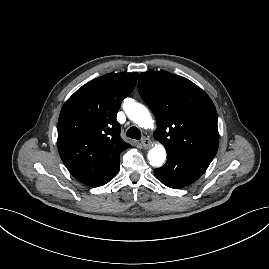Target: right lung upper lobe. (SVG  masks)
I'll return each instance as SVG.
<instances>
[{
  "instance_id": "cb5924a9",
  "label": "right lung upper lobe",
  "mask_w": 269,
  "mask_h": 269,
  "mask_svg": "<svg viewBox=\"0 0 269 269\" xmlns=\"http://www.w3.org/2000/svg\"><path fill=\"white\" fill-rule=\"evenodd\" d=\"M137 73H110L79 88L63 105L58 120V151L78 181L90 187L104 182L131 147L120 137L116 120L121 102L134 89Z\"/></svg>"
}]
</instances>
